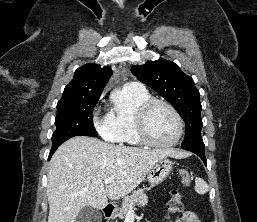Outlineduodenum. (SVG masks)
<instances>
[{
	"instance_id": "duodenum-1",
	"label": "duodenum",
	"mask_w": 257,
	"mask_h": 222,
	"mask_svg": "<svg viewBox=\"0 0 257 222\" xmlns=\"http://www.w3.org/2000/svg\"><path fill=\"white\" fill-rule=\"evenodd\" d=\"M103 214L106 218H112L114 215V206L111 204H107L103 207Z\"/></svg>"
}]
</instances>
